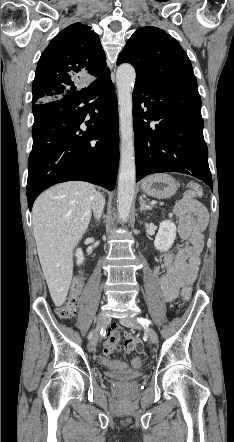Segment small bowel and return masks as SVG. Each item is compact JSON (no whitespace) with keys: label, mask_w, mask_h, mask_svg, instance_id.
I'll list each match as a JSON object with an SVG mask.
<instances>
[{"label":"small bowel","mask_w":234,"mask_h":442,"mask_svg":"<svg viewBox=\"0 0 234 442\" xmlns=\"http://www.w3.org/2000/svg\"><path fill=\"white\" fill-rule=\"evenodd\" d=\"M174 211L179 220V234L186 243L164 257L165 273H162L159 267L154 269V275L163 291L164 299L169 303L177 298L182 287L196 280L200 266L199 253L203 245V232L208 222L206 208L195 199L191 192H186L182 196L175 205ZM120 338L121 331L112 324L103 343L102 351L106 349L114 351ZM134 350L137 355L142 356L147 347L140 342L139 336H126L125 351L132 353Z\"/></svg>","instance_id":"obj_1"}]
</instances>
